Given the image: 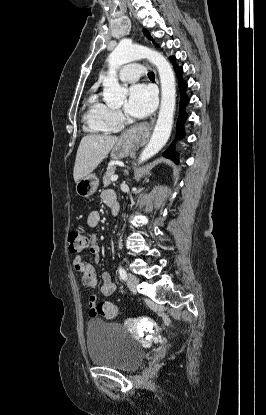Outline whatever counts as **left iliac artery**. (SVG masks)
<instances>
[{
    "label": "left iliac artery",
    "mask_w": 266,
    "mask_h": 415,
    "mask_svg": "<svg viewBox=\"0 0 266 415\" xmlns=\"http://www.w3.org/2000/svg\"><path fill=\"white\" fill-rule=\"evenodd\" d=\"M118 271H119L120 278L123 279V280H126L127 279L126 270L123 267L120 266Z\"/></svg>",
    "instance_id": "44dca946"
}]
</instances>
